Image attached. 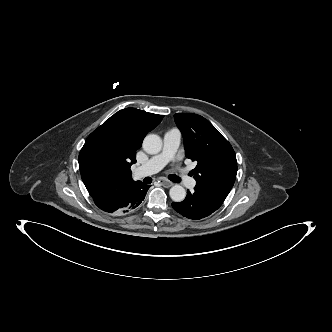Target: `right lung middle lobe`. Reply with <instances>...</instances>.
Returning a JSON list of instances; mask_svg holds the SVG:
<instances>
[{
    "instance_id": "obj_1",
    "label": "right lung middle lobe",
    "mask_w": 332,
    "mask_h": 332,
    "mask_svg": "<svg viewBox=\"0 0 332 332\" xmlns=\"http://www.w3.org/2000/svg\"><path fill=\"white\" fill-rule=\"evenodd\" d=\"M123 148L119 129L114 125H101L88 136L79 159L94 169L109 173L117 168Z\"/></svg>"
}]
</instances>
